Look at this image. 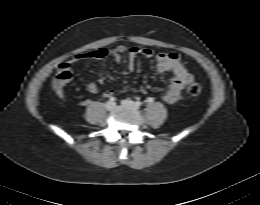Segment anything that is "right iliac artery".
Returning <instances> with one entry per match:
<instances>
[{
  "mask_svg": "<svg viewBox=\"0 0 260 205\" xmlns=\"http://www.w3.org/2000/svg\"><path fill=\"white\" fill-rule=\"evenodd\" d=\"M109 100H110V102H114L116 99H115V97H110Z\"/></svg>",
  "mask_w": 260,
  "mask_h": 205,
  "instance_id": "82829eb1",
  "label": "right iliac artery"
}]
</instances>
